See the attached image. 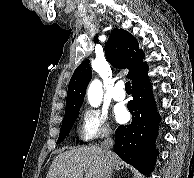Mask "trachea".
Segmentation results:
<instances>
[{
	"label": "trachea",
	"instance_id": "obj_1",
	"mask_svg": "<svg viewBox=\"0 0 194 178\" xmlns=\"http://www.w3.org/2000/svg\"><path fill=\"white\" fill-rule=\"evenodd\" d=\"M125 90H126V92H131V84H130V81H127L125 83Z\"/></svg>",
	"mask_w": 194,
	"mask_h": 178
}]
</instances>
